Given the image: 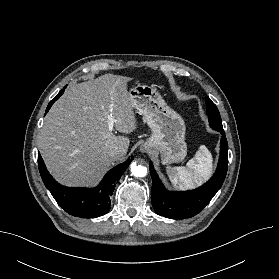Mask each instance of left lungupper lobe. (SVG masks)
Segmentation results:
<instances>
[{
  "instance_id": "1",
  "label": "left lung upper lobe",
  "mask_w": 279,
  "mask_h": 279,
  "mask_svg": "<svg viewBox=\"0 0 279 279\" xmlns=\"http://www.w3.org/2000/svg\"><path fill=\"white\" fill-rule=\"evenodd\" d=\"M206 107H207V115L209 117V124L211 128L217 131L223 130L220 113L216 105L210 100L209 97H206Z\"/></svg>"
}]
</instances>
